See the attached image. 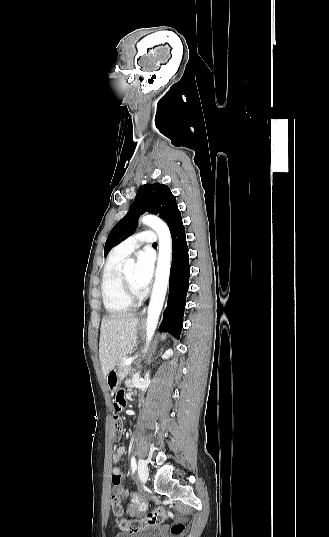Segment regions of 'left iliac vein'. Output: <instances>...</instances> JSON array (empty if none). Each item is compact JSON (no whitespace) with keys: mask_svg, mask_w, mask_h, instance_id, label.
<instances>
[{"mask_svg":"<svg viewBox=\"0 0 329 537\" xmlns=\"http://www.w3.org/2000/svg\"><path fill=\"white\" fill-rule=\"evenodd\" d=\"M138 475L142 483H145L147 481L149 470L147 463L143 459H140L138 462Z\"/></svg>","mask_w":329,"mask_h":537,"instance_id":"obj_1","label":"left iliac vein"}]
</instances>
